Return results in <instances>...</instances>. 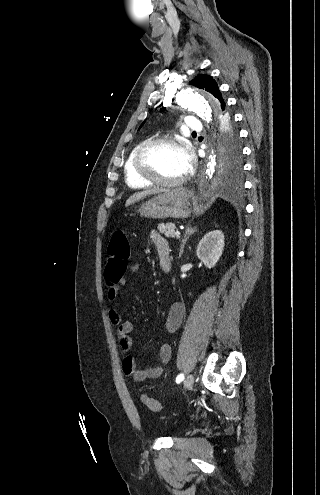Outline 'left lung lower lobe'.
I'll list each match as a JSON object with an SVG mask.
<instances>
[{"label": "left lung lower lobe", "mask_w": 320, "mask_h": 495, "mask_svg": "<svg viewBox=\"0 0 320 495\" xmlns=\"http://www.w3.org/2000/svg\"><path fill=\"white\" fill-rule=\"evenodd\" d=\"M221 117L224 118V121H226L229 126H232L233 125V118H232L231 114L228 111L224 112L221 115Z\"/></svg>", "instance_id": "left-lung-lower-lobe-1"}]
</instances>
